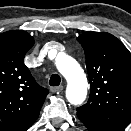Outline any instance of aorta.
Instances as JSON below:
<instances>
[{"mask_svg":"<svg viewBox=\"0 0 131 131\" xmlns=\"http://www.w3.org/2000/svg\"><path fill=\"white\" fill-rule=\"evenodd\" d=\"M58 71L67 80L66 97L71 104H81L87 95V78L80 65L63 54L56 59Z\"/></svg>","mask_w":131,"mask_h":131,"instance_id":"762f6f07","label":"aorta"}]
</instances>
